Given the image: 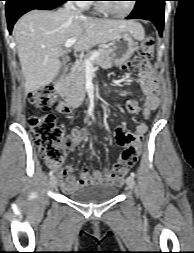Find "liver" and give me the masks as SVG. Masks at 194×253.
Returning a JSON list of instances; mask_svg holds the SVG:
<instances>
[{"instance_id": "1", "label": "liver", "mask_w": 194, "mask_h": 253, "mask_svg": "<svg viewBox=\"0 0 194 253\" xmlns=\"http://www.w3.org/2000/svg\"><path fill=\"white\" fill-rule=\"evenodd\" d=\"M123 31L136 38L144 35V28L136 21L92 19L70 9L57 11L33 10L15 24L13 35L25 77V93L36 91L51 83L60 67L63 45L76 38V51L113 40Z\"/></svg>"}]
</instances>
